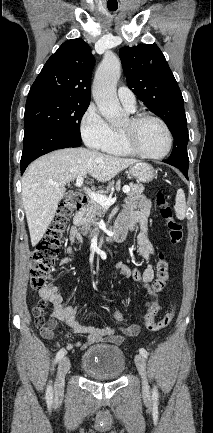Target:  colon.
Wrapping results in <instances>:
<instances>
[{
  "label": "colon",
  "instance_id": "5ec220e1",
  "mask_svg": "<svg viewBox=\"0 0 213 433\" xmlns=\"http://www.w3.org/2000/svg\"><path fill=\"white\" fill-rule=\"evenodd\" d=\"M86 196L78 191L68 194L66 199L60 204L53 223L47 230L45 236L35 246L31 261V286L36 290L46 287L51 277V270L59 254L60 245L63 241L68 220L81 209ZM156 206L159 208L160 216L165 221L168 238L173 245H178L183 238L182 225L173 217L172 209L163 192L159 191L155 197ZM169 278L168 264L163 254L159 255L156 266V279L153 283L155 292H161L165 289ZM48 307V301L42 300L33 308L35 322L40 328H45L48 321L45 318V311ZM175 310L167 312L159 321H154L145 315L146 325L150 331H159L166 328L172 321ZM123 314L115 312V320L120 321ZM133 330L127 329L125 336H134Z\"/></svg>",
  "mask_w": 213,
  "mask_h": 433
}]
</instances>
